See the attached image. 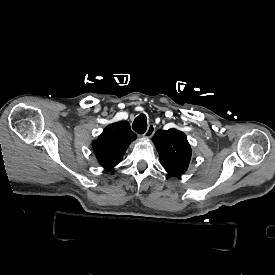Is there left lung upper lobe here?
Instances as JSON below:
<instances>
[{"label":"left lung upper lobe","mask_w":275,"mask_h":275,"mask_svg":"<svg viewBox=\"0 0 275 275\" xmlns=\"http://www.w3.org/2000/svg\"><path fill=\"white\" fill-rule=\"evenodd\" d=\"M152 140L164 169L173 176L184 174L192 154L186 135L175 128L158 130Z\"/></svg>","instance_id":"obj_1"}]
</instances>
